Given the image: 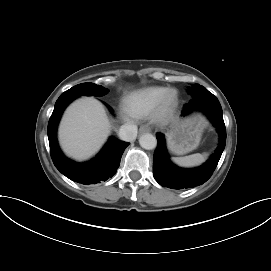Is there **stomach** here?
<instances>
[{"label": "stomach", "mask_w": 271, "mask_h": 271, "mask_svg": "<svg viewBox=\"0 0 271 271\" xmlns=\"http://www.w3.org/2000/svg\"><path fill=\"white\" fill-rule=\"evenodd\" d=\"M208 123L201 114H194L176 122L167 135L169 150L177 155H183L196 149L202 133Z\"/></svg>", "instance_id": "0dacf381"}]
</instances>
